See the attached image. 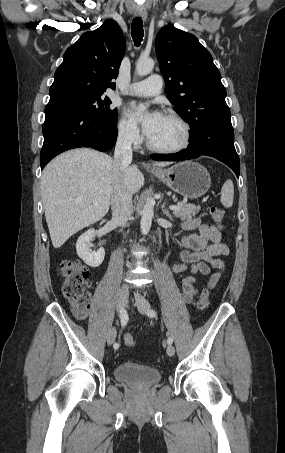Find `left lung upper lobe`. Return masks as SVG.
I'll list each match as a JSON object with an SVG mask.
<instances>
[{
    "mask_svg": "<svg viewBox=\"0 0 285 453\" xmlns=\"http://www.w3.org/2000/svg\"><path fill=\"white\" fill-rule=\"evenodd\" d=\"M155 50L167 97L191 135L208 126H232L220 72L194 35L167 25L156 36Z\"/></svg>",
    "mask_w": 285,
    "mask_h": 453,
    "instance_id": "obj_1",
    "label": "left lung upper lobe"
}]
</instances>
